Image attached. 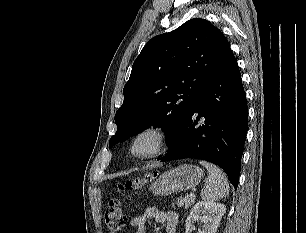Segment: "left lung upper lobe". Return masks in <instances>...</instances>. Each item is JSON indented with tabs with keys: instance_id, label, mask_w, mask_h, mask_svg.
<instances>
[{
	"instance_id": "5c2ea615",
	"label": "left lung upper lobe",
	"mask_w": 306,
	"mask_h": 233,
	"mask_svg": "<svg viewBox=\"0 0 306 233\" xmlns=\"http://www.w3.org/2000/svg\"><path fill=\"white\" fill-rule=\"evenodd\" d=\"M230 51L223 33L200 18L152 38L133 63L109 147L154 124L164 125L169 145Z\"/></svg>"
}]
</instances>
